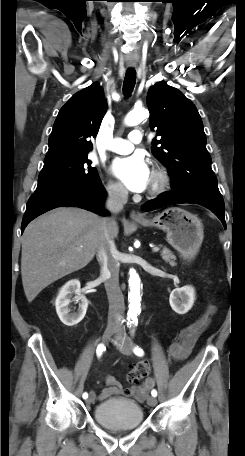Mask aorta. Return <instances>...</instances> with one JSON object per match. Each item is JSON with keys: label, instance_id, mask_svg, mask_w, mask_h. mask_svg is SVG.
<instances>
[{"label": "aorta", "instance_id": "1", "mask_svg": "<svg viewBox=\"0 0 245 456\" xmlns=\"http://www.w3.org/2000/svg\"><path fill=\"white\" fill-rule=\"evenodd\" d=\"M149 113L144 108L132 110L125 117V124L135 126L148 117ZM129 288L128 293L129 310L128 317H135L141 311V296H140V278L134 269L129 272Z\"/></svg>", "mask_w": 245, "mask_h": 456}]
</instances>
